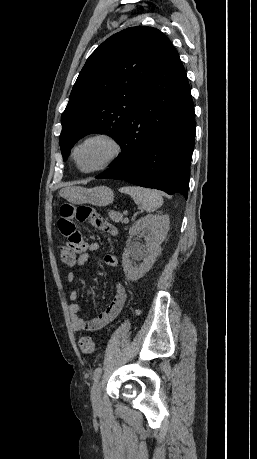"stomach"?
Masks as SVG:
<instances>
[{"label": "stomach", "mask_w": 257, "mask_h": 459, "mask_svg": "<svg viewBox=\"0 0 257 459\" xmlns=\"http://www.w3.org/2000/svg\"><path fill=\"white\" fill-rule=\"evenodd\" d=\"M60 195L67 200H73L75 204L89 203L95 206H107L114 199L113 191L107 186L94 188L73 186L63 189Z\"/></svg>", "instance_id": "stomach-1"}]
</instances>
